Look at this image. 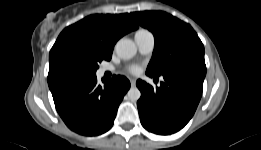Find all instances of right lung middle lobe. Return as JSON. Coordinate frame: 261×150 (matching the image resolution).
Masks as SVG:
<instances>
[{
  "label": "right lung middle lobe",
  "instance_id": "1",
  "mask_svg": "<svg viewBox=\"0 0 261 150\" xmlns=\"http://www.w3.org/2000/svg\"><path fill=\"white\" fill-rule=\"evenodd\" d=\"M84 43L69 45L59 54V67L62 73L69 79H83L96 76L98 63L102 60H110Z\"/></svg>",
  "mask_w": 261,
  "mask_h": 150
}]
</instances>
